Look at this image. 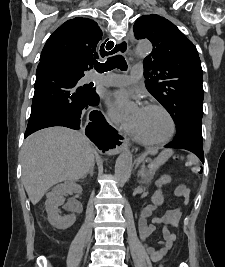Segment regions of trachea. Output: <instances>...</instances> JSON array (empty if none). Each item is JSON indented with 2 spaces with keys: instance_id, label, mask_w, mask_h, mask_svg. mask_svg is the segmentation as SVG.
I'll return each instance as SVG.
<instances>
[{
  "instance_id": "3493384b",
  "label": "trachea",
  "mask_w": 225,
  "mask_h": 267,
  "mask_svg": "<svg viewBox=\"0 0 225 267\" xmlns=\"http://www.w3.org/2000/svg\"><path fill=\"white\" fill-rule=\"evenodd\" d=\"M108 44H110V48L106 46L107 49L113 48L114 46L113 42L110 41ZM115 52H116V47L113 49L112 53H115ZM94 67H95V70L100 73H103L105 71H111L114 68H118L120 70L126 71L127 63L122 55H115V56L109 57L107 61L103 64L95 63Z\"/></svg>"
}]
</instances>
